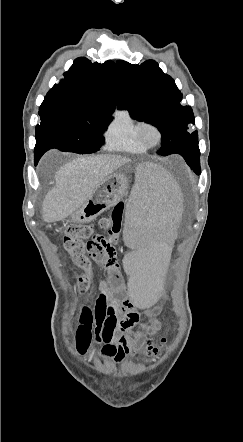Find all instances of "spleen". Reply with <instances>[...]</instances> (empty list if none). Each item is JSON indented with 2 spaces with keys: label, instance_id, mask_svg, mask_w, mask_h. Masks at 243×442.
Returning a JSON list of instances; mask_svg holds the SVG:
<instances>
[{
  "label": "spleen",
  "instance_id": "obj_1",
  "mask_svg": "<svg viewBox=\"0 0 243 442\" xmlns=\"http://www.w3.org/2000/svg\"><path fill=\"white\" fill-rule=\"evenodd\" d=\"M161 163H138L135 181L128 205L123 237L133 254L124 259L125 273L129 274L130 296L133 307H154L163 296L167 284L168 258H173L174 242H178L175 226H184V217H177L182 209L180 185L174 178L161 172Z\"/></svg>",
  "mask_w": 243,
  "mask_h": 442
}]
</instances>
